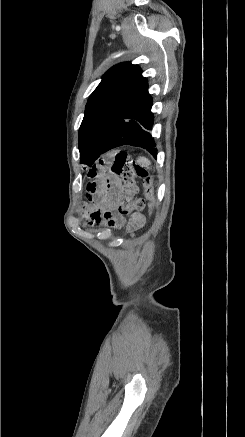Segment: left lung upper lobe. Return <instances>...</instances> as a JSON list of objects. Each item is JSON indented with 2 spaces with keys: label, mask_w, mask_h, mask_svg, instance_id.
Listing matches in <instances>:
<instances>
[{
  "label": "left lung upper lobe",
  "mask_w": 245,
  "mask_h": 437,
  "mask_svg": "<svg viewBox=\"0 0 245 437\" xmlns=\"http://www.w3.org/2000/svg\"><path fill=\"white\" fill-rule=\"evenodd\" d=\"M147 83L142 71L130 62L109 69L90 95L79 129L80 163L92 166L115 122Z\"/></svg>",
  "instance_id": "obj_1"
}]
</instances>
